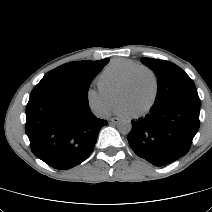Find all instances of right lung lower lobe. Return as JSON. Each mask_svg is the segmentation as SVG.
<instances>
[{"instance_id":"1","label":"right lung lower lobe","mask_w":212,"mask_h":212,"mask_svg":"<svg viewBox=\"0 0 212 212\" xmlns=\"http://www.w3.org/2000/svg\"><path fill=\"white\" fill-rule=\"evenodd\" d=\"M106 124L90 112L88 102L66 94L31 95L26 106L25 131L32 152L59 170L83 162Z\"/></svg>"}]
</instances>
